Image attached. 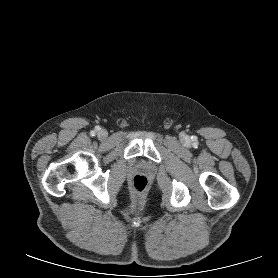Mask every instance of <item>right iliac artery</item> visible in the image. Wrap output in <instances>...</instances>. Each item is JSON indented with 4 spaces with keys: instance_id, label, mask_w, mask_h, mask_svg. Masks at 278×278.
<instances>
[{
    "instance_id": "obj_1",
    "label": "right iliac artery",
    "mask_w": 278,
    "mask_h": 278,
    "mask_svg": "<svg viewBox=\"0 0 278 278\" xmlns=\"http://www.w3.org/2000/svg\"><path fill=\"white\" fill-rule=\"evenodd\" d=\"M98 129H99V128H98ZM91 135L94 136V135H95V131H92V132H91Z\"/></svg>"
}]
</instances>
